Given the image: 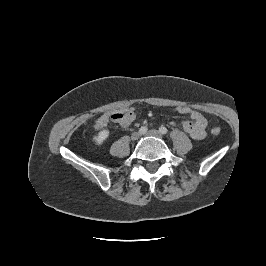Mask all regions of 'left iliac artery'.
Instances as JSON below:
<instances>
[{"mask_svg":"<svg viewBox=\"0 0 266 266\" xmlns=\"http://www.w3.org/2000/svg\"><path fill=\"white\" fill-rule=\"evenodd\" d=\"M159 131H160L162 134H166L168 130H167L166 127L161 126V127L159 128Z\"/></svg>","mask_w":266,"mask_h":266,"instance_id":"44dca946","label":"left iliac artery"}]
</instances>
